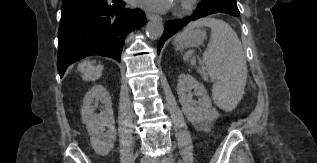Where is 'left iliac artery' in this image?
Instances as JSON below:
<instances>
[{"label": "left iliac artery", "instance_id": "44dca946", "mask_svg": "<svg viewBox=\"0 0 317 163\" xmlns=\"http://www.w3.org/2000/svg\"><path fill=\"white\" fill-rule=\"evenodd\" d=\"M162 163H169V159L164 158V159L162 160Z\"/></svg>", "mask_w": 317, "mask_h": 163}]
</instances>
